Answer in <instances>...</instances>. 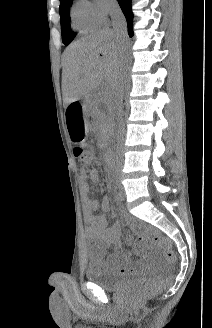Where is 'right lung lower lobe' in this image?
I'll return each mask as SVG.
<instances>
[{
    "label": "right lung lower lobe",
    "mask_w": 212,
    "mask_h": 328,
    "mask_svg": "<svg viewBox=\"0 0 212 328\" xmlns=\"http://www.w3.org/2000/svg\"><path fill=\"white\" fill-rule=\"evenodd\" d=\"M122 12L125 15L127 26H128V34L130 37L133 36V26H132V18L133 13L131 9V0H117Z\"/></svg>",
    "instance_id": "obj_1"
}]
</instances>
